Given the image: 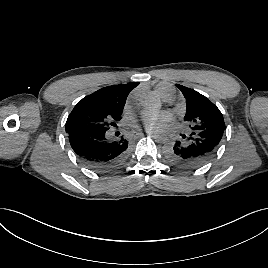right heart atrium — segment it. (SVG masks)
Segmentation results:
<instances>
[{"label":"right heart atrium","mask_w":268,"mask_h":268,"mask_svg":"<svg viewBox=\"0 0 268 268\" xmlns=\"http://www.w3.org/2000/svg\"><path fill=\"white\" fill-rule=\"evenodd\" d=\"M135 100H136V95L133 94L130 96L129 100H128V106L131 107L135 104Z\"/></svg>","instance_id":"right-heart-atrium-1"}]
</instances>
